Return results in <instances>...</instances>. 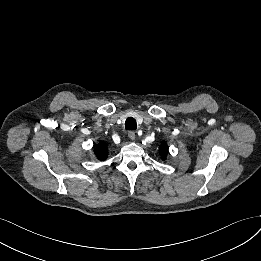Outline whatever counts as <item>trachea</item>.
Segmentation results:
<instances>
[{"mask_svg":"<svg viewBox=\"0 0 261 261\" xmlns=\"http://www.w3.org/2000/svg\"><path fill=\"white\" fill-rule=\"evenodd\" d=\"M125 128L126 130H136L137 129L136 120L132 117L127 118L125 121Z\"/></svg>","mask_w":261,"mask_h":261,"instance_id":"trachea-1","label":"trachea"}]
</instances>
